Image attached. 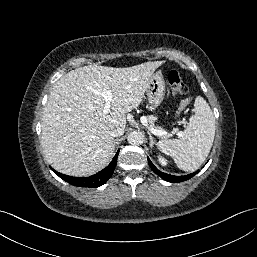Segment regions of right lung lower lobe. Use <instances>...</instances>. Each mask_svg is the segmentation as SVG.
<instances>
[{
	"label": "right lung lower lobe",
	"mask_w": 257,
	"mask_h": 257,
	"mask_svg": "<svg viewBox=\"0 0 257 257\" xmlns=\"http://www.w3.org/2000/svg\"><path fill=\"white\" fill-rule=\"evenodd\" d=\"M118 153H119V150L116 153V155L114 156L113 160L110 162V164L106 168H104L97 174L92 175L90 177H71V176H67L62 173H59V172L55 171L53 168H51V169L60 178H62L63 180H65L66 182H68L74 186L94 187L95 188V187H99V186L103 185L104 183H106L108 181V179L112 176L114 169L116 167V164H117Z\"/></svg>",
	"instance_id": "right-lung-lower-lobe-1"
}]
</instances>
